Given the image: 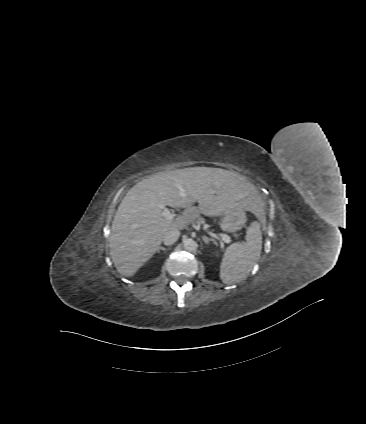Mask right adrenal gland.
<instances>
[{"label":"right adrenal gland","instance_id":"right-adrenal-gland-1","mask_svg":"<svg viewBox=\"0 0 366 424\" xmlns=\"http://www.w3.org/2000/svg\"><path fill=\"white\" fill-rule=\"evenodd\" d=\"M160 250L166 251L167 249L165 247L159 246L158 249H157V252L159 253Z\"/></svg>","mask_w":366,"mask_h":424}]
</instances>
